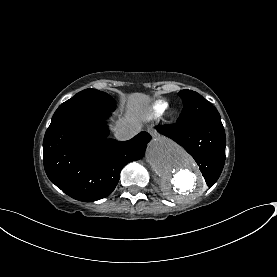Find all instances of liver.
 Segmentation results:
<instances>
[{
  "mask_svg": "<svg viewBox=\"0 0 277 277\" xmlns=\"http://www.w3.org/2000/svg\"><path fill=\"white\" fill-rule=\"evenodd\" d=\"M150 102L151 98L148 95L143 93L130 94L126 103L125 115L115 123V127H112V130L127 125L139 124L142 126V122L147 119V110Z\"/></svg>",
  "mask_w": 277,
  "mask_h": 277,
  "instance_id": "obj_1",
  "label": "liver"
}]
</instances>
